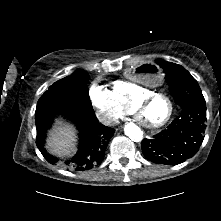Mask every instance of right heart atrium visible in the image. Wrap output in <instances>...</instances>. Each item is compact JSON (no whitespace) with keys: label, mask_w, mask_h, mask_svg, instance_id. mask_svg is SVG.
I'll return each instance as SVG.
<instances>
[{"label":"right heart atrium","mask_w":221,"mask_h":221,"mask_svg":"<svg viewBox=\"0 0 221 221\" xmlns=\"http://www.w3.org/2000/svg\"><path fill=\"white\" fill-rule=\"evenodd\" d=\"M90 99L101 121L107 124L117 122L125 116L126 108L106 87L94 83L89 91Z\"/></svg>","instance_id":"d8ad5b80"}]
</instances>
